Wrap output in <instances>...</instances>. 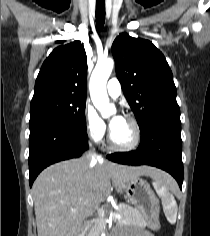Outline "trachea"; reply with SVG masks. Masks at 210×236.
Instances as JSON below:
<instances>
[{
    "instance_id": "trachea-1",
    "label": "trachea",
    "mask_w": 210,
    "mask_h": 236,
    "mask_svg": "<svg viewBox=\"0 0 210 236\" xmlns=\"http://www.w3.org/2000/svg\"><path fill=\"white\" fill-rule=\"evenodd\" d=\"M96 23L99 30H102L105 23V3L103 0L96 2Z\"/></svg>"
}]
</instances>
